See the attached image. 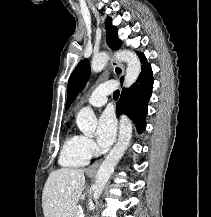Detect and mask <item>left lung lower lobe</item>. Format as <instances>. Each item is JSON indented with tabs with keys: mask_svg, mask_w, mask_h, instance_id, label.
<instances>
[{
	"mask_svg": "<svg viewBox=\"0 0 211 217\" xmlns=\"http://www.w3.org/2000/svg\"><path fill=\"white\" fill-rule=\"evenodd\" d=\"M152 87V70L147 64L142 67L136 82L129 89L122 90L121 98L117 103V114H126L133 121L139 133H142L146 126L145 118Z\"/></svg>",
	"mask_w": 211,
	"mask_h": 217,
	"instance_id": "left-lung-lower-lobe-1",
	"label": "left lung lower lobe"
}]
</instances>
